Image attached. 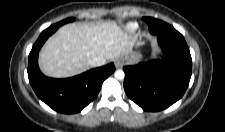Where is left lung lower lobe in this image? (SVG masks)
<instances>
[{
  "label": "left lung lower lobe",
  "mask_w": 225,
  "mask_h": 132,
  "mask_svg": "<svg viewBox=\"0 0 225 132\" xmlns=\"http://www.w3.org/2000/svg\"><path fill=\"white\" fill-rule=\"evenodd\" d=\"M149 30L158 38L162 59L123 68L127 96L146 111H160L185 93L192 71V59L182 34L171 28L161 31L165 22L145 17ZM158 28L156 33L152 28Z\"/></svg>",
  "instance_id": "0a47b994"
}]
</instances>
